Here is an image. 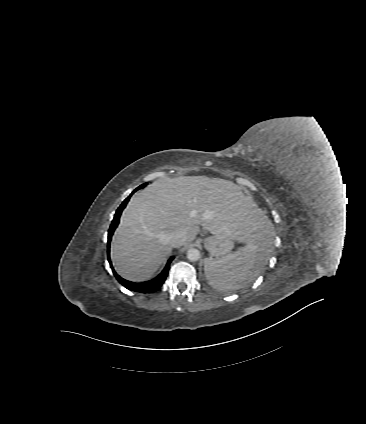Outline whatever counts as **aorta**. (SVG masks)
<instances>
[{
    "mask_svg": "<svg viewBox=\"0 0 366 424\" xmlns=\"http://www.w3.org/2000/svg\"><path fill=\"white\" fill-rule=\"evenodd\" d=\"M187 258L191 262H196L200 259V251L196 248H190L187 251Z\"/></svg>",
    "mask_w": 366,
    "mask_h": 424,
    "instance_id": "aorta-1",
    "label": "aorta"
}]
</instances>
